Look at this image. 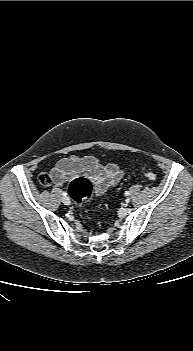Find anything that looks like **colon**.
<instances>
[{"instance_id":"obj_1","label":"colon","mask_w":193,"mask_h":351,"mask_svg":"<svg viewBox=\"0 0 193 351\" xmlns=\"http://www.w3.org/2000/svg\"><path fill=\"white\" fill-rule=\"evenodd\" d=\"M141 174L145 179L150 181H154L157 178L156 172L150 168L143 167L141 169ZM38 181L45 187L51 184V179L46 173L39 175ZM93 188V184L88 178L77 177L70 182L68 192L74 204L80 207L83 202L90 199L93 193Z\"/></svg>"}]
</instances>
